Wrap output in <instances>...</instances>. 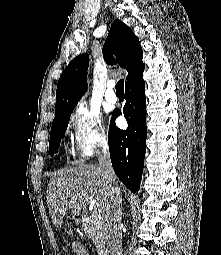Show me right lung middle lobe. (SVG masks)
Masks as SVG:
<instances>
[{
  "instance_id": "dd1d6c3e",
  "label": "right lung middle lobe",
  "mask_w": 221,
  "mask_h": 255,
  "mask_svg": "<svg viewBox=\"0 0 221 255\" xmlns=\"http://www.w3.org/2000/svg\"><path fill=\"white\" fill-rule=\"evenodd\" d=\"M71 113L72 111H69L59 114L56 116V118H54L49 141V150L51 156L58 151L61 138L65 135Z\"/></svg>"
}]
</instances>
